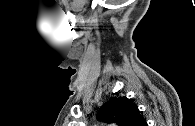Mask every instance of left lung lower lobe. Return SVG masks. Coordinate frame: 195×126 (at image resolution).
Here are the masks:
<instances>
[{
	"mask_svg": "<svg viewBox=\"0 0 195 126\" xmlns=\"http://www.w3.org/2000/svg\"><path fill=\"white\" fill-rule=\"evenodd\" d=\"M142 126H148V124H147L146 122H144V123L142 124Z\"/></svg>",
	"mask_w": 195,
	"mask_h": 126,
	"instance_id": "left-lung-lower-lobe-1",
	"label": "left lung lower lobe"
}]
</instances>
